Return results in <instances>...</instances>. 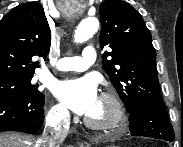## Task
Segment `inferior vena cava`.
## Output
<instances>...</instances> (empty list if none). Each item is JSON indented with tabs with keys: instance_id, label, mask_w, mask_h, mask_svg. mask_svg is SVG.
I'll return each instance as SVG.
<instances>
[{
	"instance_id": "obj_1",
	"label": "inferior vena cava",
	"mask_w": 183,
	"mask_h": 147,
	"mask_svg": "<svg viewBox=\"0 0 183 147\" xmlns=\"http://www.w3.org/2000/svg\"><path fill=\"white\" fill-rule=\"evenodd\" d=\"M69 113L61 110L60 113L54 114L48 118L44 132L36 141V147H60L69 130Z\"/></svg>"
}]
</instances>
